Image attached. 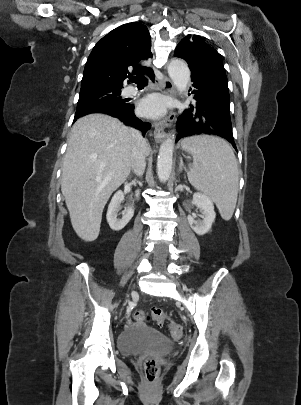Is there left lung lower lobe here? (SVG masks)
<instances>
[{"label": "left lung lower lobe", "instance_id": "1", "mask_svg": "<svg viewBox=\"0 0 301 405\" xmlns=\"http://www.w3.org/2000/svg\"><path fill=\"white\" fill-rule=\"evenodd\" d=\"M195 106L185 110L178 118V135L181 138L193 135H215L225 138L237 151L230 119L229 98L219 95L199 78L193 77Z\"/></svg>", "mask_w": 301, "mask_h": 405}]
</instances>
